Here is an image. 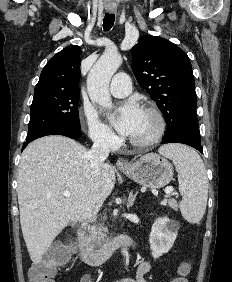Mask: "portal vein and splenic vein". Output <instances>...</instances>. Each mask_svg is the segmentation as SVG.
Returning <instances> with one entry per match:
<instances>
[{
	"label": "portal vein and splenic vein",
	"mask_w": 232,
	"mask_h": 282,
	"mask_svg": "<svg viewBox=\"0 0 232 282\" xmlns=\"http://www.w3.org/2000/svg\"><path fill=\"white\" fill-rule=\"evenodd\" d=\"M173 187H167L166 189H165V194L166 195H172V194H174L173 193ZM63 195L65 196V197H70V195H71V193H70V191H68V190H65L64 192H63Z\"/></svg>",
	"instance_id": "18ae733b"
}]
</instances>
